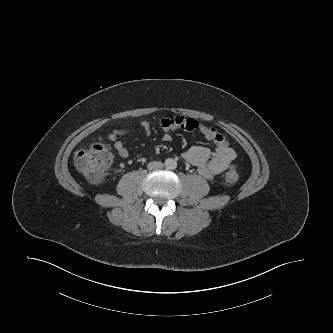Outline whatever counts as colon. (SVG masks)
I'll use <instances>...</instances> for the list:
<instances>
[{"label": "colon", "instance_id": "1", "mask_svg": "<svg viewBox=\"0 0 333 333\" xmlns=\"http://www.w3.org/2000/svg\"><path fill=\"white\" fill-rule=\"evenodd\" d=\"M77 170L90 182L99 183L106 176L112 163V156L103 144L97 143L79 151L74 157ZM228 185H234L239 180V171L231 166L224 176Z\"/></svg>", "mask_w": 333, "mask_h": 333}]
</instances>
